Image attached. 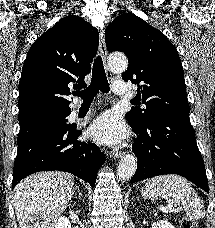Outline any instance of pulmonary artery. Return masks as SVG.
<instances>
[{
    "instance_id": "pulmonary-artery-1",
    "label": "pulmonary artery",
    "mask_w": 215,
    "mask_h": 228,
    "mask_svg": "<svg viewBox=\"0 0 215 228\" xmlns=\"http://www.w3.org/2000/svg\"><path fill=\"white\" fill-rule=\"evenodd\" d=\"M111 88L114 89L115 93L122 96H133L136 91L133 89V84H126V82H113ZM77 110L74 109L73 113H76Z\"/></svg>"
}]
</instances>
